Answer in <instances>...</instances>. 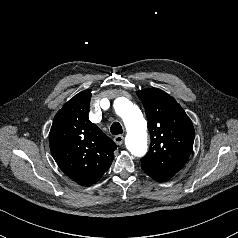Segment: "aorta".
<instances>
[{"instance_id":"obj_1","label":"aorta","mask_w":238,"mask_h":238,"mask_svg":"<svg viewBox=\"0 0 238 238\" xmlns=\"http://www.w3.org/2000/svg\"><path fill=\"white\" fill-rule=\"evenodd\" d=\"M114 109L127 129V149L132 155L143 156L147 150V123L140 109L124 97L115 100Z\"/></svg>"}]
</instances>
